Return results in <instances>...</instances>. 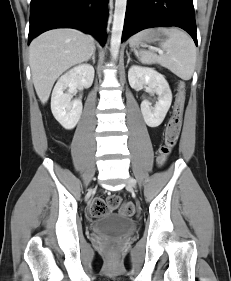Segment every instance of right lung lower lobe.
<instances>
[{
    "mask_svg": "<svg viewBox=\"0 0 231 281\" xmlns=\"http://www.w3.org/2000/svg\"><path fill=\"white\" fill-rule=\"evenodd\" d=\"M108 0H31L28 44L40 33L74 28L106 41Z\"/></svg>",
    "mask_w": 231,
    "mask_h": 281,
    "instance_id": "obj_1",
    "label": "right lung lower lobe"
}]
</instances>
